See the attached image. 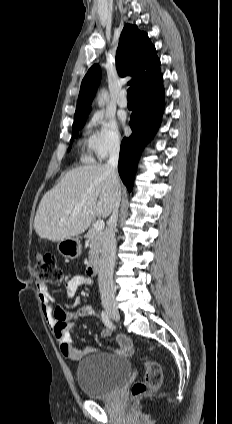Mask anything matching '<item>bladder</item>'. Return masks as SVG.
<instances>
[{"mask_svg": "<svg viewBox=\"0 0 232 424\" xmlns=\"http://www.w3.org/2000/svg\"><path fill=\"white\" fill-rule=\"evenodd\" d=\"M131 372V364L123 356L91 354L78 364L76 382L86 397L104 399L113 395Z\"/></svg>", "mask_w": 232, "mask_h": 424, "instance_id": "obj_1", "label": "bladder"}]
</instances>
